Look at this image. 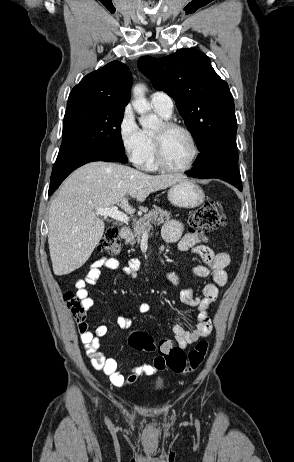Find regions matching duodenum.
<instances>
[{
  "label": "duodenum",
  "mask_w": 294,
  "mask_h": 462,
  "mask_svg": "<svg viewBox=\"0 0 294 462\" xmlns=\"http://www.w3.org/2000/svg\"><path fill=\"white\" fill-rule=\"evenodd\" d=\"M131 232V228L126 226L120 229L119 235L122 239H127L131 235Z\"/></svg>",
  "instance_id": "obj_1"
}]
</instances>
